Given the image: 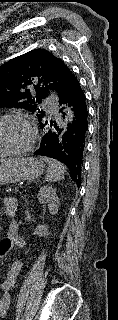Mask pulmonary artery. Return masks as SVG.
<instances>
[{
  "label": "pulmonary artery",
  "mask_w": 118,
  "mask_h": 320,
  "mask_svg": "<svg viewBox=\"0 0 118 320\" xmlns=\"http://www.w3.org/2000/svg\"><path fill=\"white\" fill-rule=\"evenodd\" d=\"M45 105L50 112H52V113L56 112V106H55L53 99L51 97L47 98Z\"/></svg>",
  "instance_id": "e3ab8cb5"
}]
</instances>
